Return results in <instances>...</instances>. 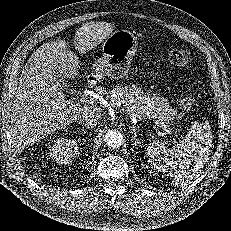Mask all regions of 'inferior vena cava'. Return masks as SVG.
I'll list each match as a JSON object with an SVG mask.
<instances>
[{"instance_id": "1", "label": "inferior vena cava", "mask_w": 231, "mask_h": 231, "mask_svg": "<svg viewBox=\"0 0 231 231\" xmlns=\"http://www.w3.org/2000/svg\"><path fill=\"white\" fill-rule=\"evenodd\" d=\"M98 122L99 118L91 112L84 114L80 119V123L85 128H94L97 126Z\"/></svg>"}]
</instances>
